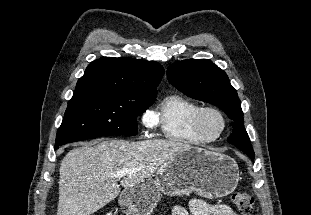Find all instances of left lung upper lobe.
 <instances>
[{
  "label": "left lung upper lobe",
  "instance_id": "1",
  "mask_svg": "<svg viewBox=\"0 0 311 215\" xmlns=\"http://www.w3.org/2000/svg\"><path fill=\"white\" fill-rule=\"evenodd\" d=\"M169 82L187 96L220 107L234 121L227 141L254 160L249 136L244 128L241 102L227 74L207 59L178 61L167 69Z\"/></svg>",
  "mask_w": 311,
  "mask_h": 215
}]
</instances>
